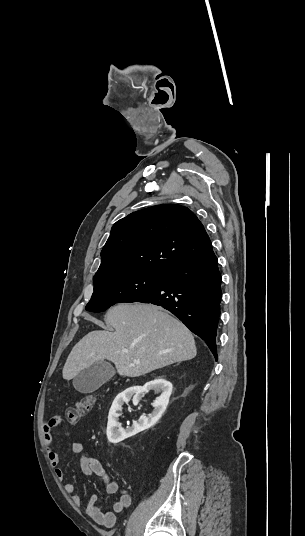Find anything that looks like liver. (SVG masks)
<instances>
[{"instance_id": "liver-1", "label": "liver", "mask_w": 305, "mask_h": 536, "mask_svg": "<svg viewBox=\"0 0 305 536\" xmlns=\"http://www.w3.org/2000/svg\"><path fill=\"white\" fill-rule=\"evenodd\" d=\"M104 320L115 332H89L84 336L65 362L64 380H72L100 360L113 362L119 376L137 378L196 356L191 332L159 306L117 304ZM134 360L140 364L131 366Z\"/></svg>"}]
</instances>
